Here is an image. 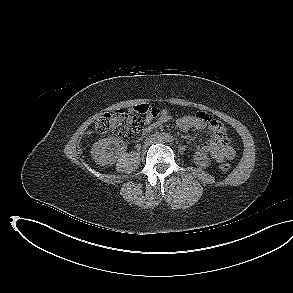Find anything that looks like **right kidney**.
Wrapping results in <instances>:
<instances>
[{
    "label": "right kidney",
    "instance_id": "obj_1",
    "mask_svg": "<svg viewBox=\"0 0 293 293\" xmlns=\"http://www.w3.org/2000/svg\"><path fill=\"white\" fill-rule=\"evenodd\" d=\"M126 149V144L117 138H105L93 144L91 155L96 164L105 166L116 162V151Z\"/></svg>",
    "mask_w": 293,
    "mask_h": 293
}]
</instances>
